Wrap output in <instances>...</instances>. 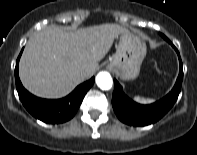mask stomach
Listing matches in <instances>:
<instances>
[{
    "label": "stomach",
    "mask_w": 197,
    "mask_h": 155,
    "mask_svg": "<svg viewBox=\"0 0 197 155\" xmlns=\"http://www.w3.org/2000/svg\"><path fill=\"white\" fill-rule=\"evenodd\" d=\"M145 56V43L137 36L124 33L120 35L117 51L108 67L122 80L135 79Z\"/></svg>",
    "instance_id": "obj_1"
}]
</instances>
